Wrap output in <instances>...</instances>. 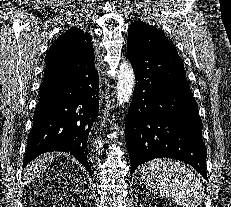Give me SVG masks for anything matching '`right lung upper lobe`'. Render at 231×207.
<instances>
[{"instance_id": "1", "label": "right lung upper lobe", "mask_w": 231, "mask_h": 207, "mask_svg": "<svg viewBox=\"0 0 231 207\" xmlns=\"http://www.w3.org/2000/svg\"><path fill=\"white\" fill-rule=\"evenodd\" d=\"M94 56L88 33L73 27L59 36L46 54V69L73 70Z\"/></svg>"}]
</instances>
